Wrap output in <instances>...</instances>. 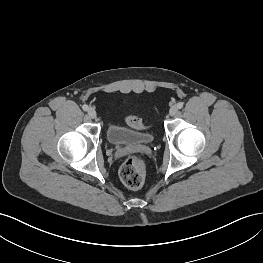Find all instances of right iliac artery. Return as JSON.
<instances>
[{
    "mask_svg": "<svg viewBox=\"0 0 263 263\" xmlns=\"http://www.w3.org/2000/svg\"><path fill=\"white\" fill-rule=\"evenodd\" d=\"M82 109H83L84 111H87V110L89 109V107H88V105L84 104V105L82 106Z\"/></svg>",
    "mask_w": 263,
    "mask_h": 263,
    "instance_id": "right-iliac-artery-1",
    "label": "right iliac artery"
}]
</instances>
